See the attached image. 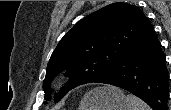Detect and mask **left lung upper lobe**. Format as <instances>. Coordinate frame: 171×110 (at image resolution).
Masks as SVG:
<instances>
[{"label":"left lung upper lobe","mask_w":171,"mask_h":110,"mask_svg":"<svg viewBox=\"0 0 171 110\" xmlns=\"http://www.w3.org/2000/svg\"><path fill=\"white\" fill-rule=\"evenodd\" d=\"M150 23L135 5L110 4L80 20L68 31L53 51L43 82L45 100H50V82L55 74L68 70L71 80L59 94L95 82L122 59L145 35ZM46 103V102H44Z\"/></svg>","instance_id":"obj_1"}]
</instances>
